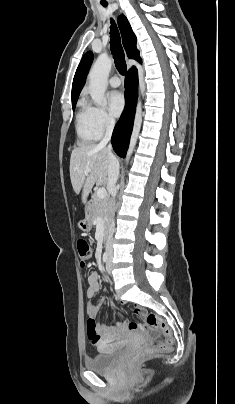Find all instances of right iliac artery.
<instances>
[{
	"instance_id": "82829eb1",
	"label": "right iliac artery",
	"mask_w": 235,
	"mask_h": 404,
	"mask_svg": "<svg viewBox=\"0 0 235 404\" xmlns=\"http://www.w3.org/2000/svg\"><path fill=\"white\" fill-rule=\"evenodd\" d=\"M107 258H108V254H107V252H105V253L103 254V262H106V261H107Z\"/></svg>"
}]
</instances>
